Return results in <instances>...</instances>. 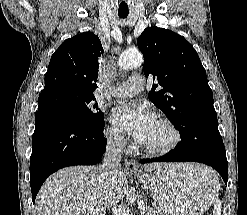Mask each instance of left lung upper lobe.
<instances>
[{"instance_id": "obj_1", "label": "left lung upper lobe", "mask_w": 247, "mask_h": 215, "mask_svg": "<svg viewBox=\"0 0 247 215\" xmlns=\"http://www.w3.org/2000/svg\"><path fill=\"white\" fill-rule=\"evenodd\" d=\"M144 55V74L158 81L148 97L181 136L191 130L217 128L212 90L196 50L184 37L155 26L137 39ZM157 87L161 90L155 91Z\"/></svg>"}]
</instances>
